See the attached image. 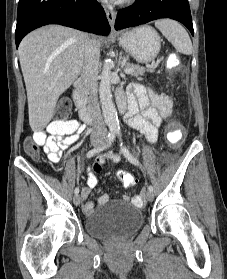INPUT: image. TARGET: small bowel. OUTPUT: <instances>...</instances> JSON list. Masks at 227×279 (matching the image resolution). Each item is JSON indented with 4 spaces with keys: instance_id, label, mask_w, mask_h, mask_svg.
I'll return each mask as SVG.
<instances>
[{
    "instance_id": "c3829d8e",
    "label": "small bowel",
    "mask_w": 227,
    "mask_h": 279,
    "mask_svg": "<svg viewBox=\"0 0 227 279\" xmlns=\"http://www.w3.org/2000/svg\"><path fill=\"white\" fill-rule=\"evenodd\" d=\"M117 100L118 103H126V98L121 92L118 93ZM127 100V123L143 133L150 143H154L158 138V130L162 120L172 113L174 105L172 98L167 94L158 93L152 88L133 83L129 86ZM60 125L61 123L58 121H53L45 130L35 132L32 137L35 143L43 146L47 159L51 163H57L61 160L63 152L80 139L79 133L84 128L83 124L77 120H69L67 122L68 129H63ZM106 157H111L114 161L119 160L118 156H112L110 153ZM88 170L87 186L83 187L81 191V197L86 201L83 205V211L86 214L94 211V204L87 199L90 196L91 189L98 184L96 174L91 171L90 165ZM108 200V195L102 194L99 196L97 203L103 205Z\"/></svg>"
}]
</instances>
